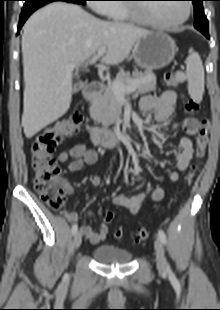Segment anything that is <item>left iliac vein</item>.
<instances>
[{
    "label": "left iliac vein",
    "mask_w": 220,
    "mask_h": 310,
    "mask_svg": "<svg viewBox=\"0 0 220 310\" xmlns=\"http://www.w3.org/2000/svg\"><path fill=\"white\" fill-rule=\"evenodd\" d=\"M154 248H155L157 268H158L159 272L166 273L168 270V263L166 261L162 242L159 238L155 239Z\"/></svg>",
    "instance_id": "1"
}]
</instances>
